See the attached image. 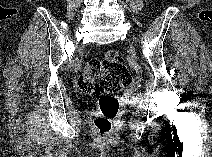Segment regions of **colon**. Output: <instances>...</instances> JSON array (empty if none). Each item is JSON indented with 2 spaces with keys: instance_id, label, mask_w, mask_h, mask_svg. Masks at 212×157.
<instances>
[{
  "instance_id": "1",
  "label": "colon",
  "mask_w": 212,
  "mask_h": 157,
  "mask_svg": "<svg viewBox=\"0 0 212 157\" xmlns=\"http://www.w3.org/2000/svg\"><path fill=\"white\" fill-rule=\"evenodd\" d=\"M132 83V75L116 50H109L100 60H89L78 79L81 91L101 96L99 113L94 127L101 137L112 132L113 120L119 112L116 95L121 94Z\"/></svg>"
}]
</instances>
